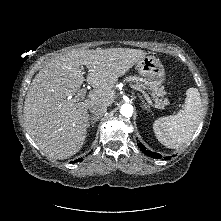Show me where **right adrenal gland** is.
<instances>
[{
  "mask_svg": "<svg viewBox=\"0 0 221 221\" xmlns=\"http://www.w3.org/2000/svg\"><path fill=\"white\" fill-rule=\"evenodd\" d=\"M100 119V117H89L88 123H87V128H90V126L94 127L95 123Z\"/></svg>",
  "mask_w": 221,
  "mask_h": 221,
  "instance_id": "right-adrenal-gland-1",
  "label": "right adrenal gland"
}]
</instances>
